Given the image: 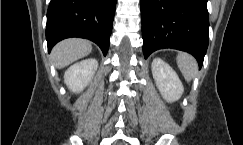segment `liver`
I'll use <instances>...</instances> for the list:
<instances>
[{
	"label": "liver",
	"mask_w": 243,
	"mask_h": 145,
	"mask_svg": "<svg viewBox=\"0 0 243 145\" xmlns=\"http://www.w3.org/2000/svg\"><path fill=\"white\" fill-rule=\"evenodd\" d=\"M92 51L89 41L83 39H66L58 43L52 50L56 68L62 69L80 58L87 56Z\"/></svg>",
	"instance_id": "liver-1"
}]
</instances>
